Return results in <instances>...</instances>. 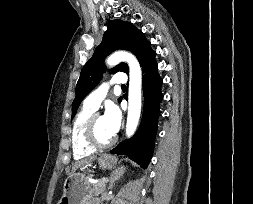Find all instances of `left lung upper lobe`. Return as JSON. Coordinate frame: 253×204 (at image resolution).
Here are the masks:
<instances>
[{
	"mask_svg": "<svg viewBox=\"0 0 253 204\" xmlns=\"http://www.w3.org/2000/svg\"><path fill=\"white\" fill-rule=\"evenodd\" d=\"M151 48L144 34L130 22L112 20L108 24L107 31L103 35L101 44L96 48L93 56L83 67L76 85V97L72 103V118L83 98L99 83L105 70L104 58L118 49L131 51L136 55L140 65L145 55ZM122 71L128 74L129 68L126 63H121L111 69V73ZM121 100V97L118 101Z\"/></svg>",
	"mask_w": 253,
	"mask_h": 204,
	"instance_id": "left-lung-upper-lobe-1",
	"label": "left lung upper lobe"
}]
</instances>
